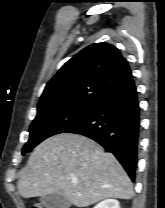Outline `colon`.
<instances>
[{
    "mask_svg": "<svg viewBox=\"0 0 165 208\" xmlns=\"http://www.w3.org/2000/svg\"><path fill=\"white\" fill-rule=\"evenodd\" d=\"M32 208H42L40 205H34Z\"/></svg>",
    "mask_w": 165,
    "mask_h": 208,
    "instance_id": "1",
    "label": "colon"
}]
</instances>
